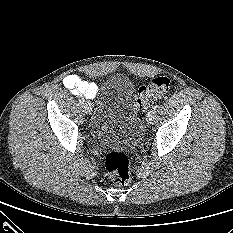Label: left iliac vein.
Segmentation results:
<instances>
[{
  "label": "left iliac vein",
  "mask_w": 233,
  "mask_h": 233,
  "mask_svg": "<svg viewBox=\"0 0 233 233\" xmlns=\"http://www.w3.org/2000/svg\"><path fill=\"white\" fill-rule=\"evenodd\" d=\"M156 117V111L155 110H150L147 114L146 121L149 125L153 124L154 120Z\"/></svg>",
  "instance_id": "4c4485c4"
}]
</instances>
